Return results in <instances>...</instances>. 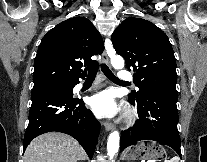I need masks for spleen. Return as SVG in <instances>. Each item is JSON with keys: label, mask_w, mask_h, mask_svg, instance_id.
<instances>
[{"label": "spleen", "mask_w": 207, "mask_h": 162, "mask_svg": "<svg viewBox=\"0 0 207 162\" xmlns=\"http://www.w3.org/2000/svg\"><path fill=\"white\" fill-rule=\"evenodd\" d=\"M179 158L178 157H173L171 160H165V162H178Z\"/></svg>", "instance_id": "3e777b00"}]
</instances>
